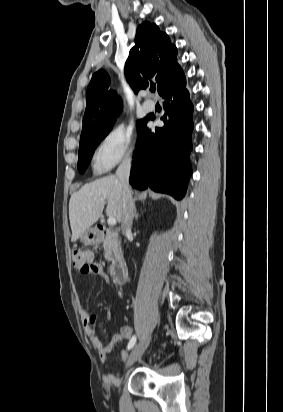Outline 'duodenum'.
Listing matches in <instances>:
<instances>
[{
    "label": "duodenum",
    "mask_w": 283,
    "mask_h": 412,
    "mask_svg": "<svg viewBox=\"0 0 283 412\" xmlns=\"http://www.w3.org/2000/svg\"><path fill=\"white\" fill-rule=\"evenodd\" d=\"M95 239L98 243L103 241H109L116 243L118 240V234L115 231H112L106 227L98 226L96 227ZM110 274L114 281L119 285H124L128 279V270L125 261L117 257L110 269Z\"/></svg>",
    "instance_id": "1"
}]
</instances>
